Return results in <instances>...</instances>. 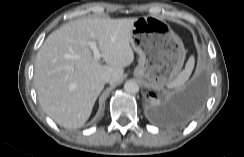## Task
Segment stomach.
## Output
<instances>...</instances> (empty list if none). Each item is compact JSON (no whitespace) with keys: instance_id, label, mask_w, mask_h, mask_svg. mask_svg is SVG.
Instances as JSON below:
<instances>
[{"instance_id":"stomach-1","label":"stomach","mask_w":244,"mask_h":157,"mask_svg":"<svg viewBox=\"0 0 244 157\" xmlns=\"http://www.w3.org/2000/svg\"><path fill=\"white\" fill-rule=\"evenodd\" d=\"M130 44L139 55L134 75L151 87L167 85L183 67L184 44L163 19L151 15L137 18L130 33Z\"/></svg>"}]
</instances>
